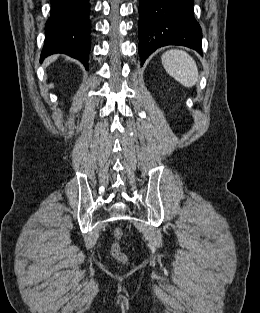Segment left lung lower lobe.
I'll return each instance as SVG.
<instances>
[{
  "label": "left lung lower lobe",
  "instance_id": "obj_1",
  "mask_svg": "<svg viewBox=\"0 0 260 313\" xmlns=\"http://www.w3.org/2000/svg\"><path fill=\"white\" fill-rule=\"evenodd\" d=\"M194 0H140L139 54L141 65L157 48L182 45L201 50V28L193 15Z\"/></svg>",
  "mask_w": 260,
  "mask_h": 313
}]
</instances>
